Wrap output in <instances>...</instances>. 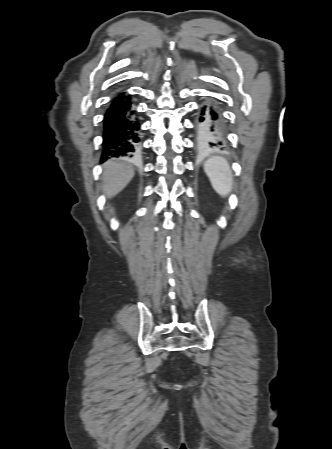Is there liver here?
<instances>
[{
    "label": "liver",
    "mask_w": 332,
    "mask_h": 449,
    "mask_svg": "<svg viewBox=\"0 0 332 449\" xmlns=\"http://www.w3.org/2000/svg\"><path fill=\"white\" fill-rule=\"evenodd\" d=\"M134 176V169L124 162L107 161L104 164L103 191L108 198L121 192Z\"/></svg>",
    "instance_id": "liver-1"
}]
</instances>
